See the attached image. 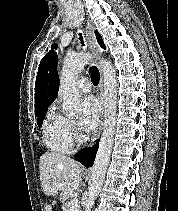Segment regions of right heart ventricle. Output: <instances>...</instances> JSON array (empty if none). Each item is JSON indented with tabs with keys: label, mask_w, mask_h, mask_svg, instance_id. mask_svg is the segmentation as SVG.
<instances>
[{
	"label": "right heart ventricle",
	"mask_w": 178,
	"mask_h": 211,
	"mask_svg": "<svg viewBox=\"0 0 178 211\" xmlns=\"http://www.w3.org/2000/svg\"><path fill=\"white\" fill-rule=\"evenodd\" d=\"M66 118L51 111L43 127V140L46 146L54 152L65 153L72 149V141L65 131Z\"/></svg>",
	"instance_id": "e07e8e85"
}]
</instances>
